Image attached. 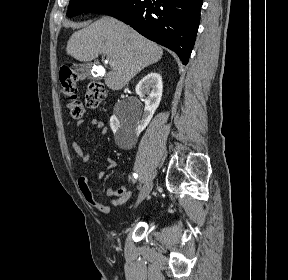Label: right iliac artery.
I'll list each match as a JSON object with an SVG mask.
<instances>
[{"label":"right iliac artery","mask_w":288,"mask_h":280,"mask_svg":"<svg viewBox=\"0 0 288 280\" xmlns=\"http://www.w3.org/2000/svg\"><path fill=\"white\" fill-rule=\"evenodd\" d=\"M136 179H137V174L134 173V174H133V179H132L133 183L136 182Z\"/></svg>","instance_id":"1"}]
</instances>
